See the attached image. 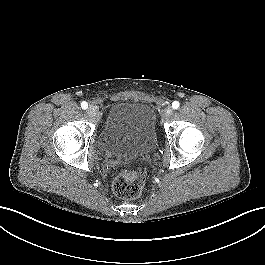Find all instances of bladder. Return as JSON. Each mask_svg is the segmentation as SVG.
I'll use <instances>...</instances> for the list:
<instances>
[{
    "label": "bladder",
    "mask_w": 265,
    "mask_h": 265,
    "mask_svg": "<svg viewBox=\"0 0 265 265\" xmlns=\"http://www.w3.org/2000/svg\"><path fill=\"white\" fill-rule=\"evenodd\" d=\"M156 113L145 103H114L98 136L100 151L109 157L145 155L157 144Z\"/></svg>",
    "instance_id": "31cf9c89"
}]
</instances>
